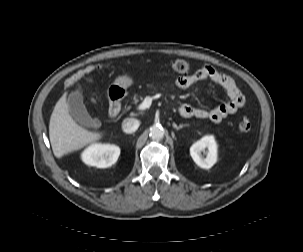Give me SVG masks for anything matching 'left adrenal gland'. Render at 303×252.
<instances>
[{
    "instance_id": "a2214340",
    "label": "left adrenal gland",
    "mask_w": 303,
    "mask_h": 252,
    "mask_svg": "<svg viewBox=\"0 0 303 252\" xmlns=\"http://www.w3.org/2000/svg\"><path fill=\"white\" fill-rule=\"evenodd\" d=\"M185 126H188L187 124H180L179 126H177L175 123H173V128H175L177 131Z\"/></svg>"
}]
</instances>
